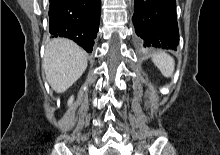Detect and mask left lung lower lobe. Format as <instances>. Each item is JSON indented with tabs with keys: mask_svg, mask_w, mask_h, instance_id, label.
Listing matches in <instances>:
<instances>
[{
	"mask_svg": "<svg viewBox=\"0 0 220 155\" xmlns=\"http://www.w3.org/2000/svg\"><path fill=\"white\" fill-rule=\"evenodd\" d=\"M133 24L143 47L176 49L179 31L175 0H135Z\"/></svg>",
	"mask_w": 220,
	"mask_h": 155,
	"instance_id": "1",
	"label": "left lung lower lobe"
}]
</instances>
